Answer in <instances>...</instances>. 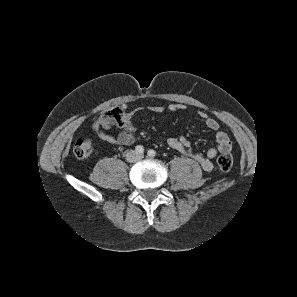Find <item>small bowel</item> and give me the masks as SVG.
<instances>
[{"instance_id": "c3829d8e", "label": "small bowel", "mask_w": 297, "mask_h": 297, "mask_svg": "<svg viewBox=\"0 0 297 297\" xmlns=\"http://www.w3.org/2000/svg\"><path fill=\"white\" fill-rule=\"evenodd\" d=\"M166 109L171 112H176L186 109V106L183 104H170L167 108L163 106L151 107V111L154 113H163ZM197 115L205 121L208 129L215 132L216 146L208 149L206 154L203 155L194 151L190 142L185 137H171L168 139L167 144L176 152L191 158L194 162L199 164L205 172L209 173L213 170L212 160L219 153L229 152L232 148V144L227 133L220 130L219 122L215 118L204 111H198ZM121 127L122 131L117 136H112L104 132V129H107L108 126L101 123L100 120L96 121L93 125L96 134L101 140L115 145H132L135 142L136 126L129 113L126 114L125 121Z\"/></svg>"}]
</instances>
